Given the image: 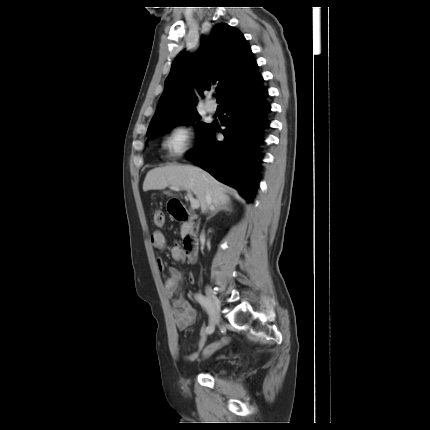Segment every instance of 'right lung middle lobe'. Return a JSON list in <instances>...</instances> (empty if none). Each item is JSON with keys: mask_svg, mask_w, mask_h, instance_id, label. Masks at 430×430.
Returning a JSON list of instances; mask_svg holds the SVG:
<instances>
[{"mask_svg": "<svg viewBox=\"0 0 430 430\" xmlns=\"http://www.w3.org/2000/svg\"><path fill=\"white\" fill-rule=\"evenodd\" d=\"M200 119V115L196 111V109L184 111L178 115H175L165 121L159 122L153 126H150L147 131V136H154L155 134H162L167 133L169 130H171L174 126L180 125V124H191L194 121H197ZM213 126L212 124H206V123H198L197 129H198V139H197V146L203 142L205 137L207 136L208 132L211 130Z\"/></svg>", "mask_w": 430, "mask_h": 430, "instance_id": "dd1d6c3e", "label": "right lung middle lobe"}]
</instances>
